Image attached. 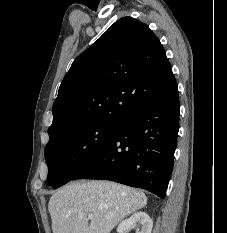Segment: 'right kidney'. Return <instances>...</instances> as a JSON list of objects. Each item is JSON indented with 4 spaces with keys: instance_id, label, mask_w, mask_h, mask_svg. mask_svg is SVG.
Segmentation results:
<instances>
[{
    "instance_id": "1",
    "label": "right kidney",
    "mask_w": 227,
    "mask_h": 233,
    "mask_svg": "<svg viewBox=\"0 0 227 233\" xmlns=\"http://www.w3.org/2000/svg\"><path fill=\"white\" fill-rule=\"evenodd\" d=\"M136 224L140 227L136 233H151L153 221L148 214L141 211L123 220L117 228V233H129L131 227Z\"/></svg>"
}]
</instances>
